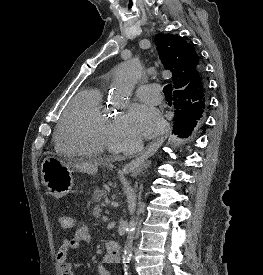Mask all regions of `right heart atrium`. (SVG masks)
Segmentation results:
<instances>
[{
  "instance_id": "d8ad5b80",
  "label": "right heart atrium",
  "mask_w": 263,
  "mask_h": 275,
  "mask_svg": "<svg viewBox=\"0 0 263 275\" xmlns=\"http://www.w3.org/2000/svg\"><path fill=\"white\" fill-rule=\"evenodd\" d=\"M137 140L129 134L124 120L117 118L110 122L107 130V144L114 151L127 150L134 147Z\"/></svg>"
}]
</instances>
